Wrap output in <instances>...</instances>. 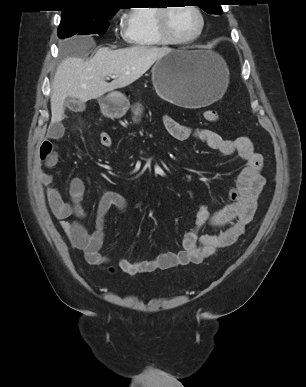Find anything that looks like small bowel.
Returning <instances> with one entry per match:
<instances>
[{
    "mask_svg": "<svg viewBox=\"0 0 306 387\" xmlns=\"http://www.w3.org/2000/svg\"><path fill=\"white\" fill-rule=\"evenodd\" d=\"M163 121L168 133L176 140L185 142L196 139L222 156L237 154L245 162V166L236 179V186L229 191L228 205L215 213H211L205 205L198 208L195 227L184 235L180 251L160 253L153 258L137 262L121 258L118 266L129 275L200 264L214 255L218 249L232 245L244 234L247 225L252 221L257 209L258 197L265 185V179L261 173L263 157L255 150L248 137L228 140L211 129L192 128L170 116H165ZM63 131L64 128L60 122L51 124L47 139L39 147L37 178L46 187L49 207L54 216L59 219L60 227L71 244L83 251L88 263L105 264L108 258L101 253V248L106 217L112 208L125 211L127 201L118 192H106L99 202L95 231L86 230L80 222L85 216L81 205L85 193L83 180L79 177L71 179L69 200H65L60 191L52 186L53 177L47 171L57 163L58 156L53 142L62 136ZM206 225L218 228L219 231L214 234L202 233L201 230Z\"/></svg>",
    "mask_w": 306,
    "mask_h": 387,
    "instance_id": "c3829d8e",
    "label": "small bowel"
}]
</instances>
